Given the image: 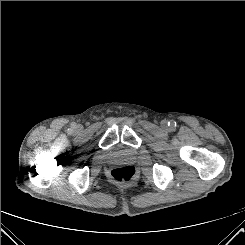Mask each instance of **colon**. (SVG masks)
Instances as JSON below:
<instances>
[{"mask_svg": "<svg viewBox=\"0 0 245 245\" xmlns=\"http://www.w3.org/2000/svg\"><path fill=\"white\" fill-rule=\"evenodd\" d=\"M136 171L131 165L115 167L111 170L113 180L119 184H128L135 178Z\"/></svg>", "mask_w": 245, "mask_h": 245, "instance_id": "obj_1", "label": "colon"}]
</instances>
